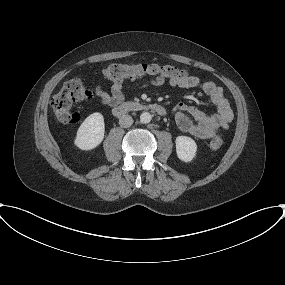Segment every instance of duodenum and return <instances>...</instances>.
<instances>
[{"label": "duodenum", "mask_w": 285, "mask_h": 285, "mask_svg": "<svg viewBox=\"0 0 285 285\" xmlns=\"http://www.w3.org/2000/svg\"><path fill=\"white\" fill-rule=\"evenodd\" d=\"M138 111H152L159 116H166V109L160 104H143L137 102H125L113 109V114L115 116H123L130 112H138Z\"/></svg>", "instance_id": "1"}]
</instances>
